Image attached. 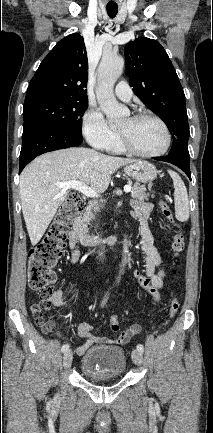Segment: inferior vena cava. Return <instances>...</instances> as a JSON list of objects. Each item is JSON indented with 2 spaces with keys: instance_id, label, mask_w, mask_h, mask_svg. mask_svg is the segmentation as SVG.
Segmentation results:
<instances>
[{
  "instance_id": "inferior-vena-cava-1",
  "label": "inferior vena cava",
  "mask_w": 213,
  "mask_h": 433,
  "mask_svg": "<svg viewBox=\"0 0 213 433\" xmlns=\"http://www.w3.org/2000/svg\"><path fill=\"white\" fill-rule=\"evenodd\" d=\"M100 256H103V252L99 254Z\"/></svg>"
}]
</instances>
